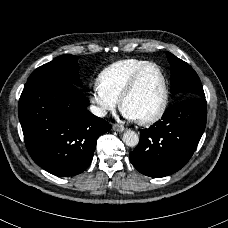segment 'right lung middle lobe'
<instances>
[{"instance_id": "right-lung-middle-lobe-1", "label": "right lung middle lobe", "mask_w": 228, "mask_h": 228, "mask_svg": "<svg viewBox=\"0 0 228 228\" xmlns=\"http://www.w3.org/2000/svg\"><path fill=\"white\" fill-rule=\"evenodd\" d=\"M45 78H65L75 85L81 86L78 76L77 57L74 55H61L37 68L28 78L27 82H33Z\"/></svg>"}]
</instances>
